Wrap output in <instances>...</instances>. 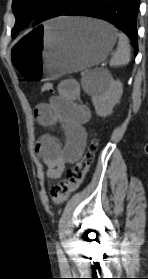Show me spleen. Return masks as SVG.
I'll return each instance as SVG.
<instances>
[{
    "mask_svg": "<svg viewBox=\"0 0 148 279\" xmlns=\"http://www.w3.org/2000/svg\"><path fill=\"white\" fill-rule=\"evenodd\" d=\"M119 37L118 46L115 54L110 60V66L126 65L130 61L131 50L128 38L123 33H117ZM99 71L93 70L84 78H82V85L84 89L89 93H95L99 89Z\"/></svg>",
    "mask_w": 148,
    "mask_h": 279,
    "instance_id": "3e777b00",
    "label": "spleen"
}]
</instances>
